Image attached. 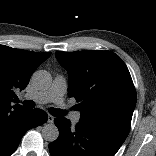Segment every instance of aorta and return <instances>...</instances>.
Returning a JSON list of instances; mask_svg holds the SVG:
<instances>
[{"label": "aorta", "instance_id": "762f6f07", "mask_svg": "<svg viewBox=\"0 0 156 156\" xmlns=\"http://www.w3.org/2000/svg\"><path fill=\"white\" fill-rule=\"evenodd\" d=\"M32 81L38 89H48L51 86L52 78L49 72L38 70L32 75ZM59 136V130L55 124H46L42 129L44 140L54 142Z\"/></svg>", "mask_w": 156, "mask_h": 156}]
</instances>
